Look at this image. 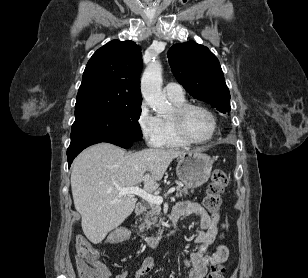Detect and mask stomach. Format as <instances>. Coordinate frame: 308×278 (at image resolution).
<instances>
[{
    "label": "stomach",
    "instance_id": "0dacf381",
    "mask_svg": "<svg viewBox=\"0 0 308 278\" xmlns=\"http://www.w3.org/2000/svg\"><path fill=\"white\" fill-rule=\"evenodd\" d=\"M212 164L213 161L207 154L189 151L178 157L176 173L187 188H197L208 181Z\"/></svg>",
    "mask_w": 308,
    "mask_h": 278
}]
</instances>
